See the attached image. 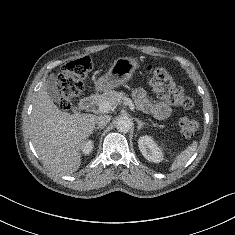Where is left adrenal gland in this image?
Instances as JSON below:
<instances>
[{"label":"left adrenal gland","instance_id":"left-adrenal-gland-1","mask_svg":"<svg viewBox=\"0 0 235 235\" xmlns=\"http://www.w3.org/2000/svg\"><path fill=\"white\" fill-rule=\"evenodd\" d=\"M135 121L138 123L137 126L138 130H140L145 125V123L140 121L139 119H135Z\"/></svg>","mask_w":235,"mask_h":235}]
</instances>
